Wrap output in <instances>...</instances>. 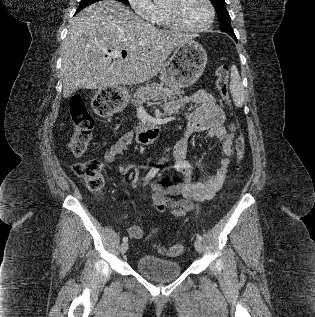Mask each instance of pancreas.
<instances>
[{
  "label": "pancreas",
  "instance_id": "1",
  "mask_svg": "<svg viewBox=\"0 0 315 317\" xmlns=\"http://www.w3.org/2000/svg\"><path fill=\"white\" fill-rule=\"evenodd\" d=\"M183 94L184 91L178 87H171L168 89L164 88L162 84L153 83L138 88L133 95L132 104L134 106H139L149 100L166 102L177 96L181 97Z\"/></svg>",
  "mask_w": 315,
  "mask_h": 317
}]
</instances>
